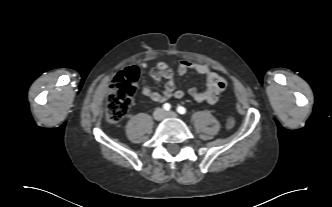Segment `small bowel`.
Returning a JSON list of instances; mask_svg holds the SVG:
<instances>
[{"label": "small bowel", "instance_id": "1", "mask_svg": "<svg viewBox=\"0 0 332 207\" xmlns=\"http://www.w3.org/2000/svg\"><path fill=\"white\" fill-rule=\"evenodd\" d=\"M138 66L142 70L147 69V65L143 62L139 63ZM190 70L204 76L206 86L202 91H199L196 88H190L188 91L189 95L195 101L200 103H216L227 88L226 80L204 64L191 62L189 60L179 61L177 65V72L179 75H184ZM149 75L156 82L165 80V85L161 92L153 91L149 87H144L142 89V94L145 97H148L156 102H164L171 98H182L184 96V92L176 88L173 71L166 62H157L156 65L150 69Z\"/></svg>", "mask_w": 332, "mask_h": 207}]
</instances>
